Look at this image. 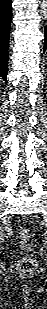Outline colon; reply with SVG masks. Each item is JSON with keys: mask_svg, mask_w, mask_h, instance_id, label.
Returning <instances> with one entry per match:
<instances>
[{"mask_svg": "<svg viewBox=\"0 0 47 309\" xmlns=\"http://www.w3.org/2000/svg\"><path fill=\"white\" fill-rule=\"evenodd\" d=\"M30 238L31 231L29 229L23 228L18 232V239L23 249L29 248ZM17 266L22 273H31L36 269L37 262L34 258L30 256H24L19 259Z\"/></svg>", "mask_w": 47, "mask_h": 309, "instance_id": "obj_1", "label": "colon"}]
</instances>
